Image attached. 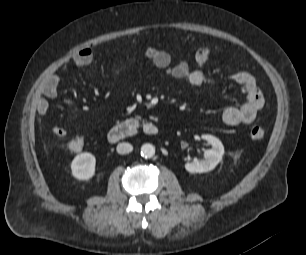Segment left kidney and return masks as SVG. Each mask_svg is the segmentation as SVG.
<instances>
[{
	"label": "left kidney",
	"mask_w": 306,
	"mask_h": 255,
	"mask_svg": "<svg viewBox=\"0 0 306 255\" xmlns=\"http://www.w3.org/2000/svg\"><path fill=\"white\" fill-rule=\"evenodd\" d=\"M201 138L206 140L212 147L204 152V159L195 158L193 162H187L185 169L189 173H204L213 170L222 160L224 146L222 142L213 135L205 134Z\"/></svg>",
	"instance_id": "5707ae66"
}]
</instances>
